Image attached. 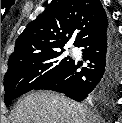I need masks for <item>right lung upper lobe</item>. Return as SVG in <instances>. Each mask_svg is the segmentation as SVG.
I'll return each instance as SVG.
<instances>
[{"label":"right lung upper lobe","mask_w":122,"mask_h":123,"mask_svg":"<svg viewBox=\"0 0 122 123\" xmlns=\"http://www.w3.org/2000/svg\"><path fill=\"white\" fill-rule=\"evenodd\" d=\"M108 24L100 0H52L49 7L20 34L8 66L22 59L63 50L78 30V47L91 34Z\"/></svg>","instance_id":"cb5924a9"}]
</instances>
